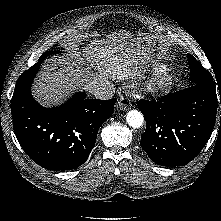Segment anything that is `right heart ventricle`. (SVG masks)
Returning <instances> with one entry per match:
<instances>
[{
  "mask_svg": "<svg viewBox=\"0 0 221 221\" xmlns=\"http://www.w3.org/2000/svg\"><path fill=\"white\" fill-rule=\"evenodd\" d=\"M167 68H166V66H163V65H160V66H158L157 68H156V70L158 71V72H163V71H165Z\"/></svg>",
  "mask_w": 221,
  "mask_h": 221,
  "instance_id": "e07e8e85",
  "label": "right heart ventricle"
}]
</instances>
